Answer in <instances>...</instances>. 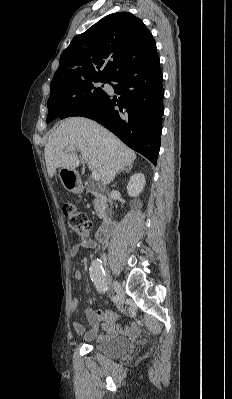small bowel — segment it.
<instances>
[{
  "label": "small bowel",
  "mask_w": 232,
  "mask_h": 399,
  "mask_svg": "<svg viewBox=\"0 0 232 399\" xmlns=\"http://www.w3.org/2000/svg\"><path fill=\"white\" fill-rule=\"evenodd\" d=\"M98 247L95 242H78L73 247V253H78L82 249H96ZM85 264V257L80 256L78 258V265L83 267ZM78 278L83 279V274L78 273ZM79 306V300L75 297L70 299L69 309L70 311H76ZM84 316L86 321L91 328L86 332L85 326L80 322H75L74 328L77 334L84 335L86 339H97L103 344H113L117 340V336L120 332L134 333L142 329L143 324L141 322H134L132 324H122L116 322L117 314L111 309L102 308H85ZM104 320L105 322H101Z\"/></svg>",
  "instance_id": "obj_1"
}]
</instances>
